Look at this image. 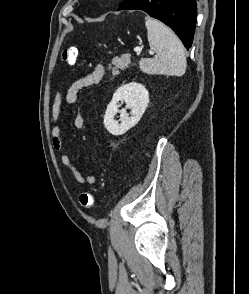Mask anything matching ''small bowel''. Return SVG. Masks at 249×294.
Listing matches in <instances>:
<instances>
[{"mask_svg":"<svg viewBox=\"0 0 249 294\" xmlns=\"http://www.w3.org/2000/svg\"><path fill=\"white\" fill-rule=\"evenodd\" d=\"M104 75V67L101 64H97L91 72L76 80L65 93L58 92L55 95L51 109V137L52 144L56 150L61 151L63 148L60 123L63 102L69 106L74 105L78 101L80 91L84 88L99 84L103 80ZM74 126L78 130H83L85 128V119L81 113H77L75 115ZM60 161L63 166L69 170L70 174L77 183L82 185H93L96 183V178L92 175H83L72 163L67 154L62 153L60 155Z\"/></svg>","mask_w":249,"mask_h":294,"instance_id":"1","label":"small bowel"}]
</instances>
